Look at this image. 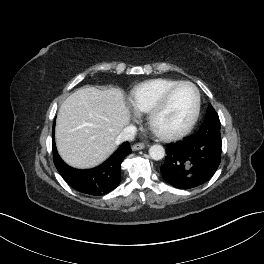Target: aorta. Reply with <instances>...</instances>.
I'll use <instances>...</instances> for the list:
<instances>
[{"mask_svg": "<svg viewBox=\"0 0 264 264\" xmlns=\"http://www.w3.org/2000/svg\"><path fill=\"white\" fill-rule=\"evenodd\" d=\"M149 156L153 159V160H161L164 158L165 156V149L163 148V146L155 144L152 145L149 148Z\"/></svg>", "mask_w": 264, "mask_h": 264, "instance_id": "obj_1", "label": "aorta"}]
</instances>
